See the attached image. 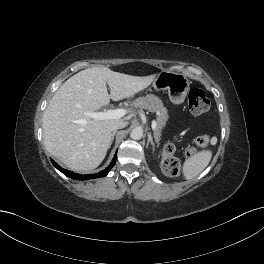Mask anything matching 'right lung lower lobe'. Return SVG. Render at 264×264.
Returning a JSON list of instances; mask_svg holds the SVG:
<instances>
[{
  "instance_id": "98d812e1",
  "label": "right lung lower lobe",
  "mask_w": 264,
  "mask_h": 264,
  "mask_svg": "<svg viewBox=\"0 0 264 264\" xmlns=\"http://www.w3.org/2000/svg\"><path fill=\"white\" fill-rule=\"evenodd\" d=\"M51 162L53 163V165L59 170L61 171L63 174H65L66 176L72 178V179H76V180H87V179H95V178H99V177H104L108 174V172L110 171V169L115 165L116 163V155L114 156L112 162L110 163V165L103 171H100L98 174H92V175H80L65 169H62L56 162H54L51 159Z\"/></svg>"
}]
</instances>
